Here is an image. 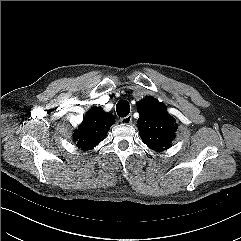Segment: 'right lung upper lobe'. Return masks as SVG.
Instances as JSON below:
<instances>
[{"label":"right lung upper lobe","mask_w":241,"mask_h":241,"mask_svg":"<svg viewBox=\"0 0 241 241\" xmlns=\"http://www.w3.org/2000/svg\"><path fill=\"white\" fill-rule=\"evenodd\" d=\"M114 122L111 114L105 113L100 107H93L75 130L73 140L82 150L93 149L105 138Z\"/></svg>","instance_id":"obj_1"}]
</instances>
